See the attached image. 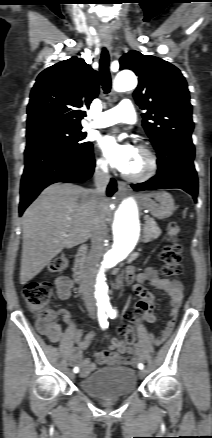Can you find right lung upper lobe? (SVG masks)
<instances>
[{
  "mask_svg": "<svg viewBox=\"0 0 212 438\" xmlns=\"http://www.w3.org/2000/svg\"><path fill=\"white\" fill-rule=\"evenodd\" d=\"M99 92L98 74L81 58L61 61L39 74L27 108V130L44 125L81 127Z\"/></svg>",
  "mask_w": 212,
  "mask_h": 438,
  "instance_id": "cb5924a9",
  "label": "right lung upper lobe"
}]
</instances>
